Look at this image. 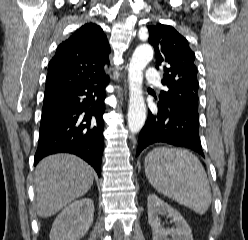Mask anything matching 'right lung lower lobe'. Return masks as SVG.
Masks as SVG:
<instances>
[{"mask_svg":"<svg viewBox=\"0 0 248 240\" xmlns=\"http://www.w3.org/2000/svg\"><path fill=\"white\" fill-rule=\"evenodd\" d=\"M108 83L106 76L44 94L34 164L50 154L73 153L87 161L100 176L104 149L102 116Z\"/></svg>","mask_w":248,"mask_h":240,"instance_id":"1","label":"right lung lower lobe"}]
</instances>
